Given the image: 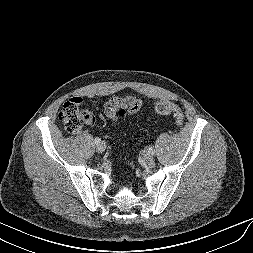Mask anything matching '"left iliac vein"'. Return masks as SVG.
<instances>
[{
	"label": "left iliac vein",
	"mask_w": 253,
	"mask_h": 253,
	"mask_svg": "<svg viewBox=\"0 0 253 253\" xmlns=\"http://www.w3.org/2000/svg\"><path fill=\"white\" fill-rule=\"evenodd\" d=\"M143 157L148 163H151L153 160V153L149 150H146L143 153Z\"/></svg>",
	"instance_id": "obj_1"
}]
</instances>
